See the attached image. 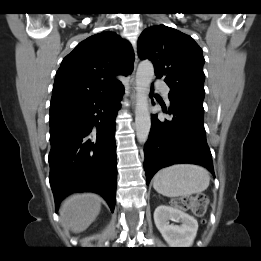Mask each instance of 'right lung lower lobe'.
<instances>
[{
	"label": "right lung lower lobe",
	"mask_w": 261,
	"mask_h": 261,
	"mask_svg": "<svg viewBox=\"0 0 261 261\" xmlns=\"http://www.w3.org/2000/svg\"><path fill=\"white\" fill-rule=\"evenodd\" d=\"M123 86L50 106V185L56 211L73 192L102 195L111 211L116 202L115 118Z\"/></svg>",
	"instance_id": "98d812e1"
}]
</instances>
